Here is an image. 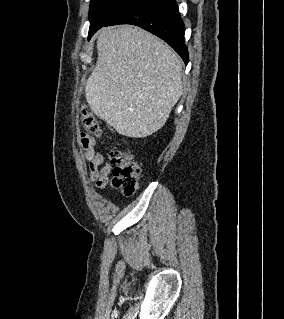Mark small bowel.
<instances>
[{"label":"small bowel","instance_id":"obj_1","mask_svg":"<svg viewBox=\"0 0 284 319\" xmlns=\"http://www.w3.org/2000/svg\"><path fill=\"white\" fill-rule=\"evenodd\" d=\"M80 147L83 151V159L89 166V180L97 189H103L109 182L112 167L105 162L104 155L95 151V139L81 133L79 137Z\"/></svg>","mask_w":284,"mask_h":319}]
</instances>
